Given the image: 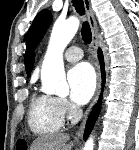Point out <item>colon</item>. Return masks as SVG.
I'll return each instance as SVG.
<instances>
[{
  "mask_svg": "<svg viewBox=\"0 0 139 150\" xmlns=\"http://www.w3.org/2000/svg\"><path fill=\"white\" fill-rule=\"evenodd\" d=\"M16 148L17 150H27V146L24 141L17 142Z\"/></svg>",
  "mask_w": 139,
  "mask_h": 150,
  "instance_id": "obj_1",
  "label": "colon"
}]
</instances>
